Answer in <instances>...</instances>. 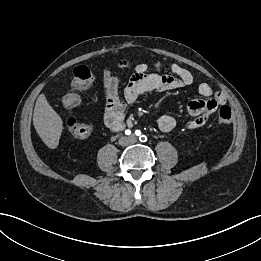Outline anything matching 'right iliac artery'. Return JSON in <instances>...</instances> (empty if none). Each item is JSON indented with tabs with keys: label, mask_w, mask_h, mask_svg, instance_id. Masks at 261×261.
<instances>
[{
	"label": "right iliac artery",
	"mask_w": 261,
	"mask_h": 261,
	"mask_svg": "<svg viewBox=\"0 0 261 261\" xmlns=\"http://www.w3.org/2000/svg\"><path fill=\"white\" fill-rule=\"evenodd\" d=\"M125 134H126V135H130V134H131V131H130V130H126V131H125Z\"/></svg>",
	"instance_id": "1"
}]
</instances>
